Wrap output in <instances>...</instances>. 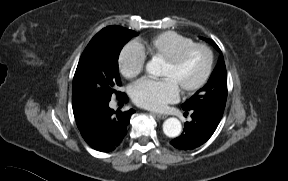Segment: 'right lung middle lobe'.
Wrapping results in <instances>:
<instances>
[{
  "mask_svg": "<svg viewBox=\"0 0 288 181\" xmlns=\"http://www.w3.org/2000/svg\"><path fill=\"white\" fill-rule=\"evenodd\" d=\"M133 30L108 26L89 42L79 60L74 78L72 97L88 105L102 106L121 86L118 57L123 46L133 36Z\"/></svg>",
  "mask_w": 288,
  "mask_h": 181,
  "instance_id": "right-lung-middle-lobe-1",
  "label": "right lung middle lobe"
}]
</instances>
